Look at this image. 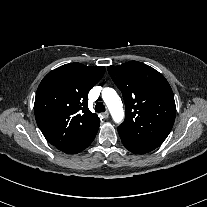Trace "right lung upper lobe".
Wrapping results in <instances>:
<instances>
[{
	"mask_svg": "<svg viewBox=\"0 0 207 207\" xmlns=\"http://www.w3.org/2000/svg\"><path fill=\"white\" fill-rule=\"evenodd\" d=\"M105 73L103 66L69 63L49 72L41 81L34 111L44 137L61 151L97 130L99 117L87 104L90 89Z\"/></svg>",
	"mask_w": 207,
	"mask_h": 207,
	"instance_id": "1",
	"label": "right lung upper lobe"
}]
</instances>
